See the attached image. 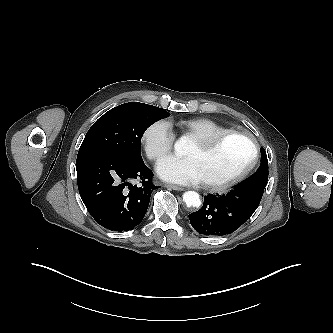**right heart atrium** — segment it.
Wrapping results in <instances>:
<instances>
[{
  "label": "right heart atrium",
  "mask_w": 333,
  "mask_h": 333,
  "mask_svg": "<svg viewBox=\"0 0 333 333\" xmlns=\"http://www.w3.org/2000/svg\"><path fill=\"white\" fill-rule=\"evenodd\" d=\"M142 142L148 158L157 161L172 150L175 134L167 121L157 120L146 127Z\"/></svg>",
  "instance_id": "1"
}]
</instances>
